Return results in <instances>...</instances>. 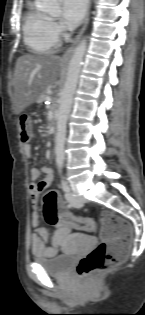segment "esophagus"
I'll return each instance as SVG.
<instances>
[{"label": "esophagus", "instance_id": "obj_1", "mask_svg": "<svg viewBox=\"0 0 145 315\" xmlns=\"http://www.w3.org/2000/svg\"><path fill=\"white\" fill-rule=\"evenodd\" d=\"M89 12H90V0H88V4H87V12H86V16H85V19H84V23H83V26L79 32V34L77 35V37L75 38L73 44L66 50V52L63 54L62 56V60L63 61H67L72 53H73V50H74V47L75 45L77 44V42L79 41V39L81 38L82 34L84 33L86 27H87V24H88V20H89Z\"/></svg>", "mask_w": 145, "mask_h": 315}]
</instances>
